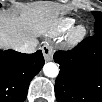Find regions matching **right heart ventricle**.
<instances>
[{"label":"right heart ventricle","mask_w":102,"mask_h":102,"mask_svg":"<svg viewBox=\"0 0 102 102\" xmlns=\"http://www.w3.org/2000/svg\"><path fill=\"white\" fill-rule=\"evenodd\" d=\"M71 25H72L71 19L60 20L51 28V30L49 31V35L55 36V35L61 34L62 32L69 29Z\"/></svg>","instance_id":"1"}]
</instances>
